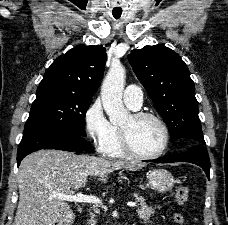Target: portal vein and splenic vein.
<instances>
[{"instance_id": "18ae733b", "label": "portal vein and splenic vein", "mask_w": 228, "mask_h": 225, "mask_svg": "<svg viewBox=\"0 0 228 225\" xmlns=\"http://www.w3.org/2000/svg\"><path fill=\"white\" fill-rule=\"evenodd\" d=\"M58 199H65V201H71V203H95V205H102L101 199L98 197H87L83 195L82 191L78 192V195H56ZM129 207H135L136 203H127Z\"/></svg>"}]
</instances>
